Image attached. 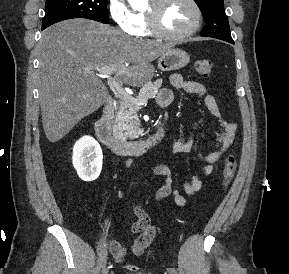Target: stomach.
Masks as SVG:
<instances>
[{
	"label": "stomach",
	"instance_id": "0dacf381",
	"mask_svg": "<svg viewBox=\"0 0 289 274\" xmlns=\"http://www.w3.org/2000/svg\"><path fill=\"white\" fill-rule=\"evenodd\" d=\"M189 55L181 49H171L158 59V68L161 71L180 69L189 63Z\"/></svg>",
	"mask_w": 289,
	"mask_h": 274
}]
</instances>
